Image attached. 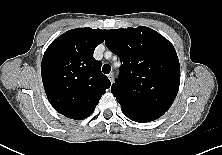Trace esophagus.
Wrapping results in <instances>:
<instances>
[{"label":"esophagus","mask_w":222,"mask_h":155,"mask_svg":"<svg viewBox=\"0 0 222 155\" xmlns=\"http://www.w3.org/2000/svg\"><path fill=\"white\" fill-rule=\"evenodd\" d=\"M108 78H109V80H110L111 83L114 82V75H113V73H110V74L108 75Z\"/></svg>","instance_id":"34e87169"}]
</instances>
